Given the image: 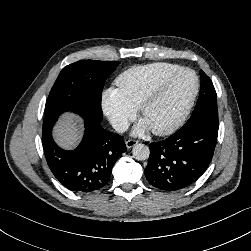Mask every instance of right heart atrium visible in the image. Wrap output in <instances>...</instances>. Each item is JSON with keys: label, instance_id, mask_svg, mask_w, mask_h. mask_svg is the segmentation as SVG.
Wrapping results in <instances>:
<instances>
[{"label": "right heart atrium", "instance_id": "right-heart-atrium-1", "mask_svg": "<svg viewBox=\"0 0 251 251\" xmlns=\"http://www.w3.org/2000/svg\"><path fill=\"white\" fill-rule=\"evenodd\" d=\"M103 113L117 132H123L136 116V109L131 107L117 89H107L101 97Z\"/></svg>", "mask_w": 251, "mask_h": 251}]
</instances>
